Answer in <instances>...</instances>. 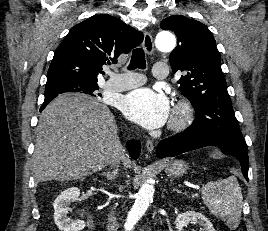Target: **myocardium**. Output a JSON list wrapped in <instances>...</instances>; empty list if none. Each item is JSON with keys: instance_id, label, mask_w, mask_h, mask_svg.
<instances>
[{"instance_id": "f54148a6", "label": "myocardium", "mask_w": 268, "mask_h": 231, "mask_svg": "<svg viewBox=\"0 0 268 231\" xmlns=\"http://www.w3.org/2000/svg\"><path fill=\"white\" fill-rule=\"evenodd\" d=\"M193 118V109L186 100H179L173 107L168 128L172 131H181L185 129Z\"/></svg>"}]
</instances>
